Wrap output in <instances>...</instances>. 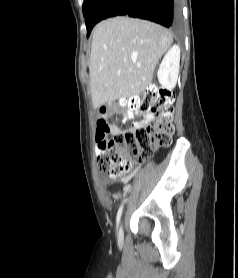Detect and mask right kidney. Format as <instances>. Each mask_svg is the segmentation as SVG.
<instances>
[{"mask_svg": "<svg viewBox=\"0 0 238 278\" xmlns=\"http://www.w3.org/2000/svg\"><path fill=\"white\" fill-rule=\"evenodd\" d=\"M179 63L180 48L178 45H174L164 56L158 70V80L163 87L167 89L175 87L179 73Z\"/></svg>", "mask_w": 238, "mask_h": 278, "instance_id": "obj_1", "label": "right kidney"}]
</instances>
